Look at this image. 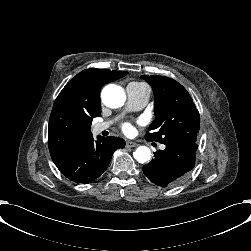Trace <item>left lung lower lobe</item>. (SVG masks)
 I'll use <instances>...</instances> for the list:
<instances>
[{
	"mask_svg": "<svg viewBox=\"0 0 251 251\" xmlns=\"http://www.w3.org/2000/svg\"><path fill=\"white\" fill-rule=\"evenodd\" d=\"M197 144H170L155 153V158L143 166V173L158 186L179 184L195 166Z\"/></svg>",
	"mask_w": 251,
	"mask_h": 251,
	"instance_id": "obj_1",
	"label": "left lung lower lobe"
}]
</instances>
